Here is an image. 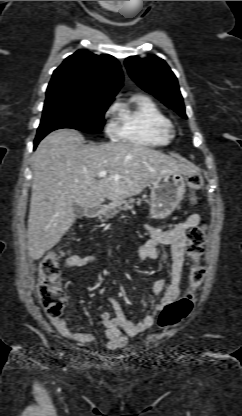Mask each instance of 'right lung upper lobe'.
<instances>
[{
  "label": "right lung upper lobe",
  "instance_id": "obj_1",
  "mask_svg": "<svg viewBox=\"0 0 242 416\" xmlns=\"http://www.w3.org/2000/svg\"><path fill=\"white\" fill-rule=\"evenodd\" d=\"M122 84L123 74L114 57L78 50L53 72L46 96L113 100Z\"/></svg>",
  "mask_w": 242,
  "mask_h": 416
}]
</instances>
